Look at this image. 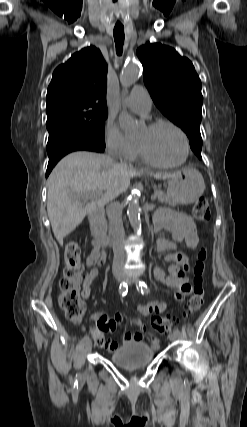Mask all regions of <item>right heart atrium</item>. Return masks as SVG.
<instances>
[{
	"instance_id": "obj_1",
	"label": "right heart atrium",
	"mask_w": 247,
	"mask_h": 427,
	"mask_svg": "<svg viewBox=\"0 0 247 427\" xmlns=\"http://www.w3.org/2000/svg\"><path fill=\"white\" fill-rule=\"evenodd\" d=\"M103 139L107 151L115 158L129 160L136 152V144L129 140L121 129L107 120L103 129Z\"/></svg>"
}]
</instances>
